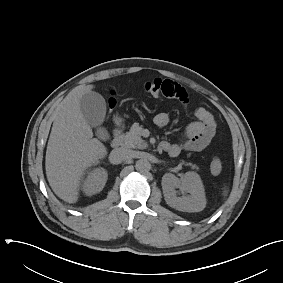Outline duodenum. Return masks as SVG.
I'll return each instance as SVG.
<instances>
[{"label":"duodenum","mask_w":283,"mask_h":283,"mask_svg":"<svg viewBox=\"0 0 283 283\" xmlns=\"http://www.w3.org/2000/svg\"><path fill=\"white\" fill-rule=\"evenodd\" d=\"M122 145V130L120 127H117L114 131V136L111 141V146L113 148H118Z\"/></svg>","instance_id":"duodenum-1"}]
</instances>
